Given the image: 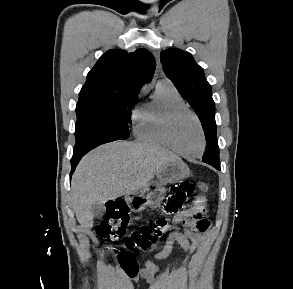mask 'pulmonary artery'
<instances>
[{
  "instance_id": "obj_1",
  "label": "pulmonary artery",
  "mask_w": 293,
  "mask_h": 289,
  "mask_svg": "<svg viewBox=\"0 0 293 289\" xmlns=\"http://www.w3.org/2000/svg\"><path fill=\"white\" fill-rule=\"evenodd\" d=\"M165 83H170V82L168 80H161L160 82H158V84H165Z\"/></svg>"
}]
</instances>
